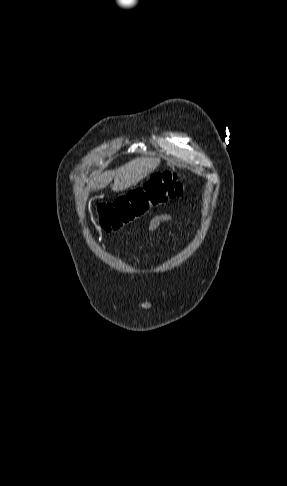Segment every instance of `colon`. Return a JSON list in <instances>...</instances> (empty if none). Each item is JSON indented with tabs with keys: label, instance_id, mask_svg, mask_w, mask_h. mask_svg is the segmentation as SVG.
I'll return each mask as SVG.
<instances>
[{
	"label": "colon",
	"instance_id": "obj_1",
	"mask_svg": "<svg viewBox=\"0 0 287 486\" xmlns=\"http://www.w3.org/2000/svg\"><path fill=\"white\" fill-rule=\"evenodd\" d=\"M186 189L178 175L164 171L113 201L98 205V222L106 231H115L144 216L151 209L181 196Z\"/></svg>",
	"mask_w": 287,
	"mask_h": 486
}]
</instances>
